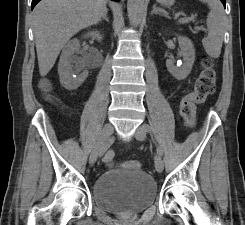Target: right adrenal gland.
I'll list each match as a JSON object with an SVG mask.
<instances>
[{
	"label": "right adrenal gland",
	"mask_w": 245,
	"mask_h": 225,
	"mask_svg": "<svg viewBox=\"0 0 245 225\" xmlns=\"http://www.w3.org/2000/svg\"><path fill=\"white\" fill-rule=\"evenodd\" d=\"M107 14H108V10L105 11V13L103 14L102 18L99 20V22H102L103 20L109 22Z\"/></svg>",
	"instance_id": "2a0ac1e0"
}]
</instances>
